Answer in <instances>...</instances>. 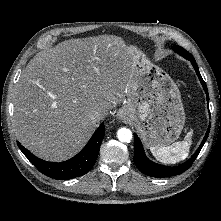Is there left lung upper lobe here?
I'll use <instances>...</instances> for the list:
<instances>
[{"label": "left lung upper lobe", "mask_w": 221, "mask_h": 221, "mask_svg": "<svg viewBox=\"0 0 221 221\" xmlns=\"http://www.w3.org/2000/svg\"><path fill=\"white\" fill-rule=\"evenodd\" d=\"M174 51L177 52L178 54L182 55L183 57H185L186 59H188L189 57H192V55L190 53H188L187 51H185L182 47L180 46H174L173 47Z\"/></svg>", "instance_id": "left-lung-upper-lobe-1"}]
</instances>
